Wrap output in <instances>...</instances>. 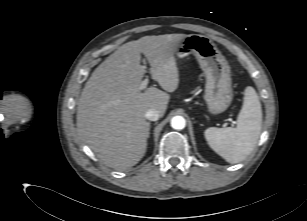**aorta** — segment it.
<instances>
[{
    "instance_id": "obj_1",
    "label": "aorta",
    "mask_w": 307,
    "mask_h": 221,
    "mask_svg": "<svg viewBox=\"0 0 307 221\" xmlns=\"http://www.w3.org/2000/svg\"><path fill=\"white\" fill-rule=\"evenodd\" d=\"M185 125H186V121H185L184 117H182V116H174L171 119V127L173 129L182 130V129H184Z\"/></svg>"
}]
</instances>
